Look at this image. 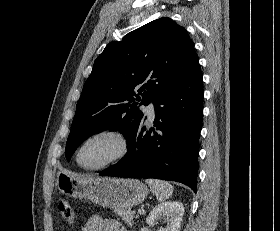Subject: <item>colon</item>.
<instances>
[{"mask_svg": "<svg viewBox=\"0 0 280 231\" xmlns=\"http://www.w3.org/2000/svg\"><path fill=\"white\" fill-rule=\"evenodd\" d=\"M57 212L62 214L60 216V219L61 220H66L65 221L66 225L71 224L70 220H75V215H72V213L74 212V209L71 208L69 202L65 198H62L59 201Z\"/></svg>", "mask_w": 280, "mask_h": 231, "instance_id": "obj_1", "label": "colon"}]
</instances>
